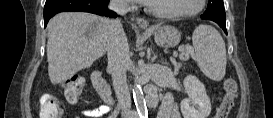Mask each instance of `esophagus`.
Listing matches in <instances>:
<instances>
[{"mask_svg": "<svg viewBox=\"0 0 273 118\" xmlns=\"http://www.w3.org/2000/svg\"><path fill=\"white\" fill-rule=\"evenodd\" d=\"M136 23L139 27L144 28V29L148 28V26H149L148 21L144 18H137Z\"/></svg>", "mask_w": 273, "mask_h": 118, "instance_id": "1", "label": "esophagus"}]
</instances>
